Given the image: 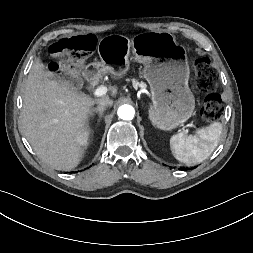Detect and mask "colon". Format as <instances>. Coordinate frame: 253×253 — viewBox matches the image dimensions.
I'll list each match as a JSON object with an SVG mask.
<instances>
[{
    "label": "colon",
    "instance_id": "5ec220e1",
    "mask_svg": "<svg viewBox=\"0 0 253 253\" xmlns=\"http://www.w3.org/2000/svg\"><path fill=\"white\" fill-rule=\"evenodd\" d=\"M94 48L95 39L92 36H77L61 40L51 48V53L56 60L52 64V69L59 70L61 64L65 69H68L72 64H80L92 53ZM190 64L195 73L198 88L207 93L202 116L206 121H217L223 113L221 98L214 92L218 76L210 67L207 58H192Z\"/></svg>",
    "mask_w": 253,
    "mask_h": 253
}]
</instances>
